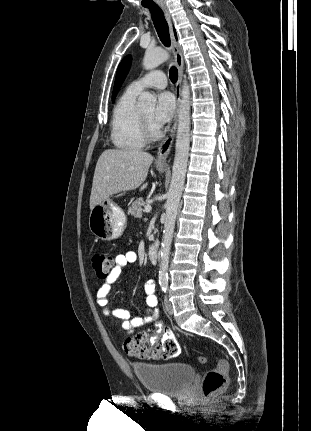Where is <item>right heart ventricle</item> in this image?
<instances>
[{
    "label": "right heart ventricle",
    "mask_w": 311,
    "mask_h": 431,
    "mask_svg": "<svg viewBox=\"0 0 311 431\" xmlns=\"http://www.w3.org/2000/svg\"><path fill=\"white\" fill-rule=\"evenodd\" d=\"M137 95L127 88L114 106L110 138L118 150L134 151L145 145L140 126L141 112L135 103Z\"/></svg>",
    "instance_id": "e07e8e85"
}]
</instances>
